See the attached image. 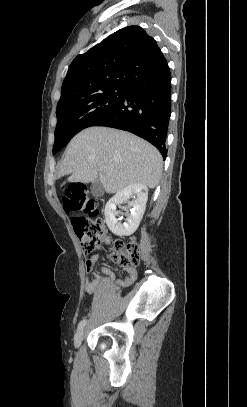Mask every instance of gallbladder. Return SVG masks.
<instances>
[{"instance_id": "1", "label": "gallbladder", "mask_w": 247, "mask_h": 407, "mask_svg": "<svg viewBox=\"0 0 247 407\" xmlns=\"http://www.w3.org/2000/svg\"><path fill=\"white\" fill-rule=\"evenodd\" d=\"M90 189L92 194L96 197H100L104 193L102 184L99 179H96L94 182H92Z\"/></svg>"}]
</instances>
